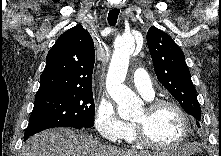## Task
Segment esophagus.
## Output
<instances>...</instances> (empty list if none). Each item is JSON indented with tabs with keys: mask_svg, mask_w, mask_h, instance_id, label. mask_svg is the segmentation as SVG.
I'll return each mask as SVG.
<instances>
[{
	"mask_svg": "<svg viewBox=\"0 0 221 156\" xmlns=\"http://www.w3.org/2000/svg\"><path fill=\"white\" fill-rule=\"evenodd\" d=\"M110 7H111V8H113V9H118L120 6H119V5L114 4V5H110Z\"/></svg>",
	"mask_w": 221,
	"mask_h": 156,
	"instance_id": "34e87169",
	"label": "esophagus"
}]
</instances>
